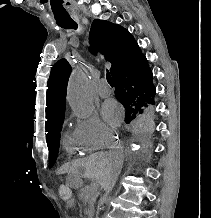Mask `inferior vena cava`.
Segmentation results:
<instances>
[{"label": "inferior vena cava", "instance_id": "602c4592", "mask_svg": "<svg viewBox=\"0 0 211 218\" xmlns=\"http://www.w3.org/2000/svg\"><path fill=\"white\" fill-rule=\"evenodd\" d=\"M111 154H117V152H111ZM113 166H114V168H113L107 182H103V184H100V186H102V188L105 192V198H108L110 192H112V190L116 184L117 176H119V174H120L121 160H117V162H113Z\"/></svg>", "mask_w": 211, "mask_h": 218}]
</instances>
